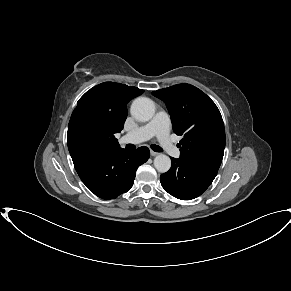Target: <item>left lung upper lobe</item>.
Here are the masks:
<instances>
[{"instance_id":"left-lung-upper-lobe-1","label":"left lung upper lobe","mask_w":291,"mask_h":291,"mask_svg":"<svg viewBox=\"0 0 291 291\" xmlns=\"http://www.w3.org/2000/svg\"><path fill=\"white\" fill-rule=\"evenodd\" d=\"M152 94L166 104L173 131L183 136L180 159L197 169L217 173L224 155L225 129L215 103L190 84L174 85Z\"/></svg>"}]
</instances>
